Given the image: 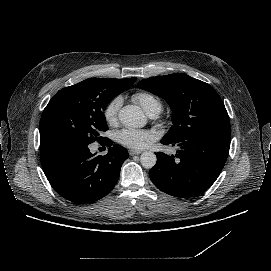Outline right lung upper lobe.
<instances>
[{"label": "right lung upper lobe", "mask_w": 271, "mask_h": 271, "mask_svg": "<svg viewBox=\"0 0 271 271\" xmlns=\"http://www.w3.org/2000/svg\"><path fill=\"white\" fill-rule=\"evenodd\" d=\"M93 79H87L80 83H77L73 86H83L89 84ZM95 80H106V81H114V82H121V83H127L130 84V86L136 81V78H128V79H101V78H95Z\"/></svg>", "instance_id": "cb5924a9"}]
</instances>
